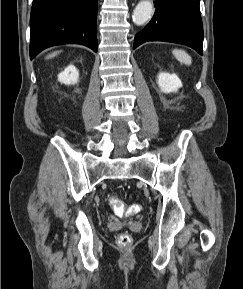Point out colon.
I'll return each instance as SVG.
<instances>
[{"instance_id":"obj_1","label":"colon","mask_w":243,"mask_h":289,"mask_svg":"<svg viewBox=\"0 0 243 289\" xmlns=\"http://www.w3.org/2000/svg\"><path fill=\"white\" fill-rule=\"evenodd\" d=\"M109 203L114 214L118 217L134 215L141 211L139 204L126 206L120 198L115 196L110 198ZM117 243L122 247L129 246L132 243V237L128 233H121L117 237Z\"/></svg>"}]
</instances>
